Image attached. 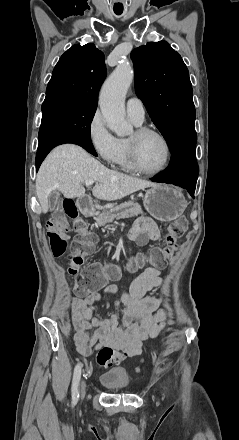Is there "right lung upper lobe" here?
I'll list each match as a JSON object with an SVG mask.
<instances>
[{
	"instance_id": "1",
	"label": "right lung upper lobe",
	"mask_w": 239,
	"mask_h": 440,
	"mask_svg": "<svg viewBox=\"0 0 239 440\" xmlns=\"http://www.w3.org/2000/svg\"><path fill=\"white\" fill-rule=\"evenodd\" d=\"M104 61L103 52L94 44L73 45L56 64L43 104L66 101L96 109L98 92L106 77Z\"/></svg>"
}]
</instances>
